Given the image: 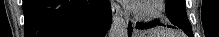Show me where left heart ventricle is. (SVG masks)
<instances>
[{
    "instance_id": "1",
    "label": "left heart ventricle",
    "mask_w": 219,
    "mask_h": 37,
    "mask_svg": "<svg viewBox=\"0 0 219 37\" xmlns=\"http://www.w3.org/2000/svg\"><path fill=\"white\" fill-rule=\"evenodd\" d=\"M141 2H144V1H141ZM141 8L144 9V10L150 9V8H151V2L146 1V2L141 6Z\"/></svg>"
}]
</instances>
